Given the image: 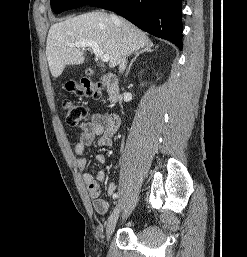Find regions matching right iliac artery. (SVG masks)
<instances>
[{
  "label": "right iliac artery",
  "mask_w": 247,
  "mask_h": 257,
  "mask_svg": "<svg viewBox=\"0 0 247 257\" xmlns=\"http://www.w3.org/2000/svg\"><path fill=\"white\" fill-rule=\"evenodd\" d=\"M118 197V194H114L113 198L116 199Z\"/></svg>",
  "instance_id": "1"
}]
</instances>
